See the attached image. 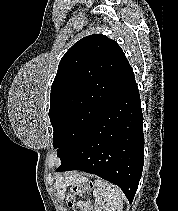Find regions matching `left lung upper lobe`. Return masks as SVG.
I'll return each instance as SVG.
<instances>
[{"label": "left lung upper lobe", "instance_id": "1", "mask_svg": "<svg viewBox=\"0 0 178 211\" xmlns=\"http://www.w3.org/2000/svg\"><path fill=\"white\" fill-rule=\"evenodd\" d=\"M129 62L102 34L76 42L62 57L51 86L49 117L53 147L63 163L101 116Z\"/></svg>", "mask_w": 178, "mask_h": 211}]
</instances>
